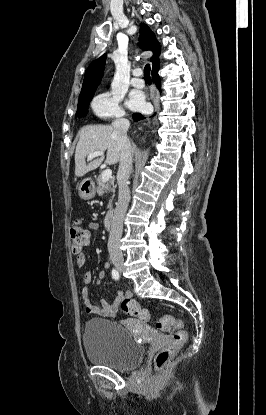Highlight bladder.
Wrapping results in <instances>:
<instances>
[{
    "label": "bladder",
    "mask_w": 266,
    "mask_h": 415,
    "mask_svg": "<svg viewBox=\"0 0 266 415\" xmlns=\"http://www.w3.org/2000/svg\"><path fill=\"white\" fill-rule=\"evenodd\" d=\"M82 341L90 362L116 370L135 368L144 356V347L128 329L113 320H88Z\"/></svg>",
    "instance_id": "obj_1"
}]
</instances>
